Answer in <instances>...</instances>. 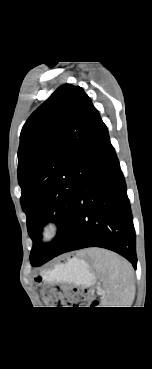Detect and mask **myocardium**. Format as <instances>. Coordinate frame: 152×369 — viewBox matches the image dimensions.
<instances>
[{
	"label": "myocardium",
	"mask_w": 152,
	"mask_h": 369,
	"mask_svg": "<svg viewBox=\"0 0 152 369\" xmlns=\"http://www.w3.org/2000/svg\"><path fill=\"white\" fill-rule=\"evenodd\" d=\"M59 231V225L55 221L47 222L40 232V240L43 244L51 243L57 236Z\"/></svg>",
	"instance_id": "1"
}]
</instances>
